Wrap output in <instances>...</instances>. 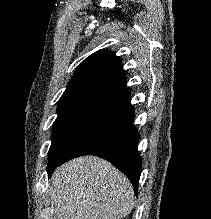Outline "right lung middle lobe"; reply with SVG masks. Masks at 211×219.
<instances>
[{"label":"right lung middle lobe","mask_w":211,"mask_h":219,"mask_svg":"<svg viewBox=\"0 0 211 219\" xmlns=\"http://www.w3.org/2000/svg\"><path fill=\"white\" fill-rule=\"evenodd\" d=\"M119 107L93 99L73 100L58 104L49 150L48 175L55 164L86 134Z\"/></svg>","instance_id":"1"}]
</instances>
